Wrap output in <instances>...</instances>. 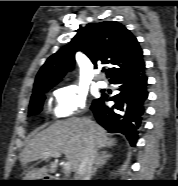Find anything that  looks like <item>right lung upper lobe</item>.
I'll return each instance as SVG.
<instances>
[{"label":"right lung upper lobe","instance_id":"obj_1","mask_svg":"<svg viewBox=\"0 0 178 186\" xmlns=\"http://www.w3.org/2000/svg\"><path fill=\"white\" fill-rule=\"evenodd\" d=\"M86 54L97 64H112L106 75L112 78L127 67L143 61V52L137 39L126 27L115 21L90 23L79 29L66 46L51 55L36 76L33 95L56 85L67 71L74 67L75 53Z\"/></svg>","mask_w":178,"mask_h":186}]
</instances>
